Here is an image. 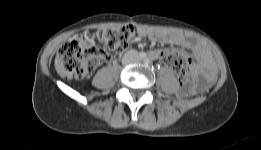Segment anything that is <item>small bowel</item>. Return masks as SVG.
Segmentation results:
<instances>
[{"label":"small bowel","instance_id":"obj_1","mask_svg":"<svg viewBox=\"0 0 261 150\" xmlns=\"http://www.w3.org/2000/svg\"><path fill=\"white\" fill-rule=\"evenodd\" d=\"M139 37H148L154 43H163L170 45H178L183 48L189 49L192 51L194 56L199 60L201 65L207 71V78L211 77L214 73V63L213 60L206 49V47L200 42L196 41L193 38L179 35V34H170L162 31H154L148 30L146 28H140L138 31ZM168 50H153L149 52V55L154 59H160L163 61V58ZM196 75L201 76L202 69L199 66H195L194 68ZM197 84L203 86V79H198L196 81Z\"/></svg>","mask_w":261,"mask_h":150}]
</instances>
